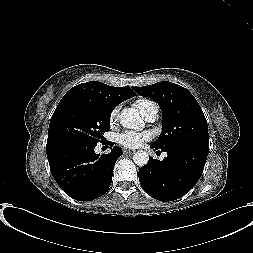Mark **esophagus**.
I'll return each mask as SVG.
<instances>
[{"instance_id": "esophagus-1", "label": "esophagus", "mask_w": 253, "mask_h": 253, "mask_svg": "<svg viewBox=\"0 0 253 253\" xmlns=\"http://www.w3.org/2000/svg\"><path fill=\"white\" fill-rule=\"evenodd\" d=\"M123 153L124 154H133V153H135V150L124 149Z\"/></svg>"}]
</instances>
